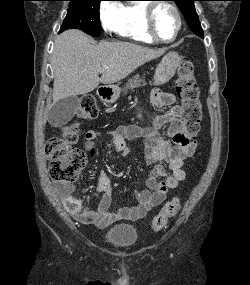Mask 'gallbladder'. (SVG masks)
<instances>
[{
  "mask_svg": "<svg viewBox=\"0 0 250 285\" xmlns=\"http://www.w3.org/2000/svg\"><path fill=\"white\" fill-rule=\"evenodd\" d=\"M78 105L79 98L76 96L59 100L49 110L48 122L53 127H60L67 124L74 117Z\"/></svg>",
  "mask_w": 250,
  "mask_h": 285,
  "instance_id": "bac80fb5",
  "label": "gallbladder"
}]
</instances>
